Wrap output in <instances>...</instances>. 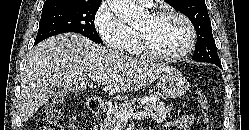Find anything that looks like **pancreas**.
I'll return each instance as SVG.
<instances>
[{"label":"pancreas","instance_id":"1","mask_svg":"<svg viewBox=\"0 0 249 130\" xmlns=\"http://www.w3.org/2000/svg\"><path fill=\"white\" fill-rule=\"evenodd\" d=\"M151 98H153V100H151ZM137 102L139 105H135ZM135 108H143L148 113V117L158 123L163 122L166 119V115L172 109L171 106H165L158 96L149 95L139 99L134 98L130 101L115 104L112 107L105 108V115L100 122V130H119L122 122L116 116V113H132Z\"/></svg>","mask_w":249,"mask_h":130}]
</instances>
